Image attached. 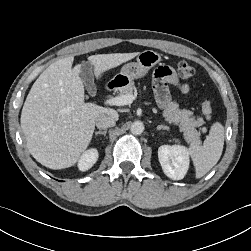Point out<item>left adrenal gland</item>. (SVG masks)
Listing matches in <instances>:
<instances>
[{
  "label": "left adrenal gland",
  "mask_w": 251,
  "mask_h": 251,
  "mask_svg": "<svg viewBox=\"0 0 251 251\" xmlns=\"http://www.w3.org/2000/svg\"><path fill=\"white\" fill-rule=\"evenodd\" d=\"M161 129L162 130H168V127L163 126V125H159V126L156 127V130H158V131L161 130Z\"/></svg>",
  "instance_id": "a2214340"
}]
</instances>
